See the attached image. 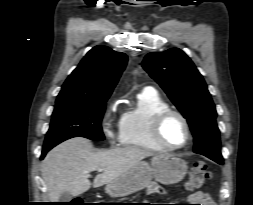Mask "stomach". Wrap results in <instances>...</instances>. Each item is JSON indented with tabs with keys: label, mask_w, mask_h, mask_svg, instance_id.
<instances>
[{
	"label": "stomach",
	"mask_w": 253,
	"mask_h": 205,
	"mask_svg": "<svg viewBox=\"0 0 253 205\" xmlns=\"http://www.w3.org/2000/svg\"><path fill=\"white\" fill-rule=\"evenodd\" d=\"M188 170L187 163L173 155H156L149 164L139 161L126 173L109 182L105 192L111 197H124L147 187L152 178L165 185L183 180Z\"/></svg>",
	"instance_id": "0dacf381"
}]
</instances>
